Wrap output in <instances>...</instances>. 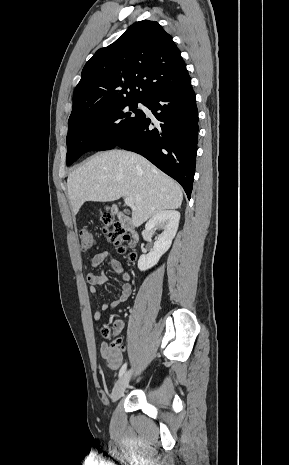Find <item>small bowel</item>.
Returning <instances> with one entry per match:
<instances>
[{
  "instance_id": "c3829d8e",
  "label": "small bowel",
  "mask_w": 289,
  "mask_h": 465,
  "mask_svg": "<svg viewBox=\"0 0 289 465\" xmlns=\"http://www.w3.org/2000/svg\"><path fill=\"white\" fill-rule=\"evenodd\" d=\"M109 260L110 263H111V266L113 268V270L118 273V274H121V281H122V286H121V291H120V294L119 296L109 302V303H102L100 308L94 313V319L96 321H100L102 319V312L103 311H112L114 310L120 303L126 301L130 294H131V290H132V286H131V283H130V280H131V275L128 271L125 270V267L124 265L118 261L117 259H115L113 257V254L108 251V250H103V251H100L99 253L91 256L89 258V263L92 267V269H96L100 264H102L103 262ZM86 279H87V282L89 284V291L91 294H96L97 293V288L98 286L104 284L107 280V276L105 274V272L101 271L99 273H96L94 271H91L87 274L86 276ZM123 328V322L121 321H117L115 323V326H114V333H119ZM101 355L103 357V359L106 361V363L108 364L109 367L113 368V369H117L120 364L122 363V360H123V355L122 353L119 351V352H115L112 347L107 343V342H103L101 344Z\"/></svg>"
}]
</instances>
